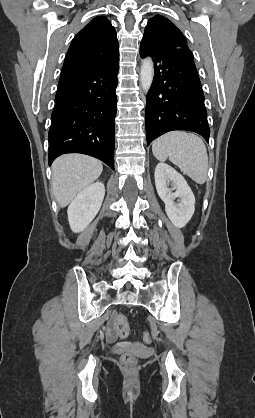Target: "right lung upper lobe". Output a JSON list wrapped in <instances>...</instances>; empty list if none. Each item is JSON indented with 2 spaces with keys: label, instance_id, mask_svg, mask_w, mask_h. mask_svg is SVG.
Returning <instances> with one entry per match:
<instances>
[{
  "label": "right lung upper lobe",
  "instance_id": "obj_1",
  "mask_svg": "<svg viewBox=\"0 0 255 418\" xmlns=\"http://www.w3.org/2000/svg\"><path fill=\"white\" fill-rule=\"evenodd\" d=\"M117 35L105 16L91 20L73 38L61 74L80 71L119 60Z\"/></svg>",
  "mask_w": 255,
  "mask_h": 418
}]
</instances>
